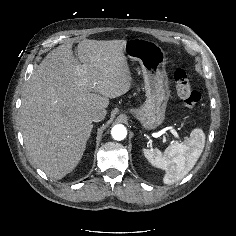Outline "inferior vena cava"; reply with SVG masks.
<instances>
[{
	"instance_id": "1",
	"label": "inferior vena cava",
	"mask_w": 236,
	"mask_h": 236,
	"mask_svg": "<svg viewBox=\"0 0 236 236\" xmlns=\"http://www.w3.org/2000/svg\"><path fill=\"white\" fill-rule=\"evenodd\" d=\"M106 116V110L102 108H95L89 112V119L92 122H99Z\"/></svg>"
}]
</instances>
